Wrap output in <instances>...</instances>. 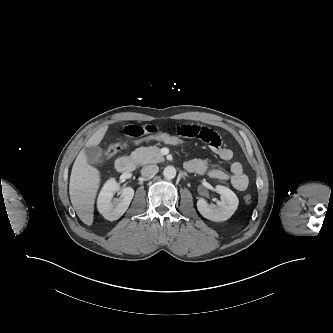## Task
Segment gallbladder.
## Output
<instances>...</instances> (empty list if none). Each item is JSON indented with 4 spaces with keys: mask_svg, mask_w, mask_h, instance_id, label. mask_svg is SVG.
Segmentation results:
<instances>
[{
    "mask_svg": "<svg viewBox=\"0 0 333 333\" xmlns=\"http://www.w3.org/2000/svg\"><path fill=\"white\" fill-rule=\"evenodd\" d=\"M87 160L92 164H102L103 163V153L98 146H89L84 148Z\"/></svg>",
    "mask_w": 333,
    "mask_h": 333,
    "instance_id": "obj_1",
    "label": "gallbladder"
}]
</instances>
